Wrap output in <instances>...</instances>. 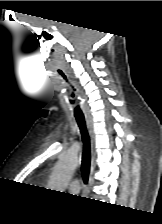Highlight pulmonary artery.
Returning a JSON list of instances; mask_svg holds the SVG:
<instances>
[{
  "label": "pulmonary artery",
  "mask_w": 162,
  "mask_h": 224,
  "mask_svg": "<svg viewBox=\"0 0 162 224\" xmlns=\"http://www.w3.org/2000/svg\"><path fill=\"white\" fill-rule=\"evenodd\" d=\"M81 188V180L79 178H73L70 180L68 189L72 193H77Z\"/></svg>",
  "instance_id": "e3ab8cb5"
}]
</instances>
